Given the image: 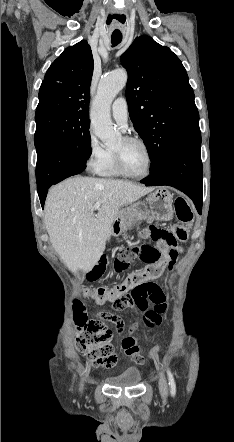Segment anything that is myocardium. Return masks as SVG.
<instances>
[{
  "label": "myocardium",
  "instance_id": "myocardium-1",
  "mask_svg": "<svg viewBox=\"0 0 234 442\" xmlns=\"http://www.w3.org/2000/svg\"><path fill=\"white\" fill-rule=\"evenodd\" d=\"M122 139L126 143H137L143 147V149L145 150L146 156H147V166H146V170L141 174L130 173L129 171H127V169L124 166L121 152L118 150H113L114 162H115V167H116L117 171L120 173V175H123L128 178H132V179H144V178L148 177L151 173L152 164H153V156H152V152H151L149 145L143 139H141L139 137H135V136H125Z\"/></svg>",
  "mask_w": 234,
  "mask_h": 442
}]
</instances>
